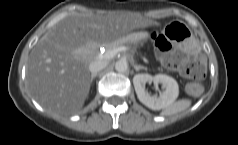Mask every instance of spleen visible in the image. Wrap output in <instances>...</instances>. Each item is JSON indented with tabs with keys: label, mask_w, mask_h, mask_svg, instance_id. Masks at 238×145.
Listing matches in <instances>:
<instances>
[{
	"label": "spleen",
	"mask_w": 238,
	"mask_h": 145,
	"mask_svg": "<svg viewBox=\"0 0 238 145\" xmlns=\"http://www.w3.org/2000/svg\"><path fill=\"white\" fill-rule=\"evenodd\" d=\"M191 106V101L189 99H180L167 107H165L162 111L163 116H170L182 111H185Z\"/></svg>",
	"instance_id": "3e777b00"
}]
</instances>
